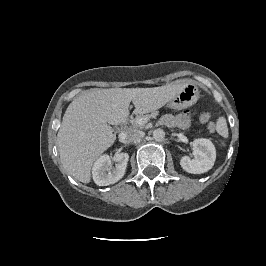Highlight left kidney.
I'll use <instances>...</instances> for the list:
<instances>
[{"label": "left kidney", "mask_w": 266, "mask_h": 266, "mask_svg": "<svg viewBox=\"0 0 266 266\" xmlns=\"http://www.w3.org/2000/svg\"><path fill=\"white\" fill-rule=\"evenodd\" d=\"M193 155L181 157L180 165L188 173L201 174L209 171L216 159V150L209 139L200 138L193 141Z\"/></svg>", "instance_id": "left-kidney-1"}]
</instances>
